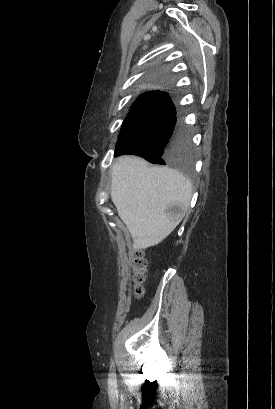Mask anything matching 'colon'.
<instances>
[{
  "label": "colon",
  "instance_id": "5ec220e1",
  "mask_svg": "<svg viewBox=\"0 0 275 409\" xmlns=\"http://www.w3.org/2000/svg\"><path fill=\"white\" fill-rule=\"evenodd\" d=\"M139 251H135L134 254L136 255V260L134 262L135 268V276L134 281L136 282L137 286L134 289V294L136 297H142L144 295V290L139 287L138 285L144 281L145 278V268H146V261L139 258Z\"/></svg>",
  "mask_w": 275,
  "mask_h": 409
}]
</instances>
